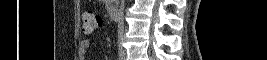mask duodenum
<instances>
[{"instance_id": "duodenum-1", "label": "duodenum", "mask_w": 267, "mask_h": 60, "mask_svg": "<svg viewBox=\"0 0 267 60\" xmlns=\"http://www.w3.org/2000/svg\"><path fill=\"white\" fill-rule=\"evenodd\" d=\"M108 12H109V16L112 19H116L118 17V13H119V8L116 5H110L108 7Z\"/></svg>"}]
</instances>
